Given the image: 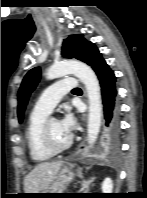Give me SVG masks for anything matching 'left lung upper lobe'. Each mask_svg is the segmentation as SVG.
Listing matches in <instances>:
<instances>
[{
    "label": "left lung upper lobe",
    "mask_w": 147,
    "mask_h": 198,
    "mask_svg": "<svg viewBox=\"0 0 147 198\" xmlns=\"http://www.w3.org/2000/svg\"><path fill=\"white\" fill-rule=\"evenodd\" d=\"M91 42H88L83 38V35H70L67 39L64 40L62 46V55L67 58H77L81 61H85V56ZM40 79V68L36 67L31 69L26 76L24 77L22 84L18 92V119L21 123L23 120V115L25 107L28 102V98L31 92L37 86V83Z\"/></svg>",
    "instance_id": "5c2ea615"
}]
</instances>
